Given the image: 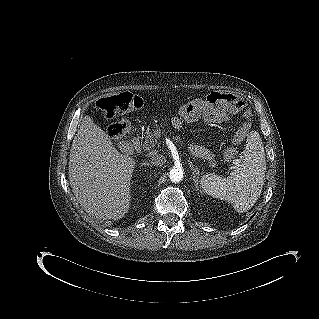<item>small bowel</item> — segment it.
<instances>
[{"mask_svg":"<svg viewBox=\"0 0 319 319\" xmlns=\"http://www.w3.org/2000/svg\"><path fill=\"white\" fill-rule=\"evenodd\" d=\"M233 112V111H230ZM226 111L223 107L210 110L208 112V122L209 123H222L228 118V114L230 113ZM173 125L177 128L181 126V120L179 118H174L173 119ZM190 150L192 153L198 155V156H208V152L203 148L198 145H190Z\"/></svg>","mask_w":319,"mask_h":319,"instance_id":"c3829d8e","label":"small bowel"}]
</instances>
